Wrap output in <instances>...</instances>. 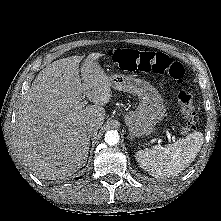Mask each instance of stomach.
<instances>
[{"mask_svg": "<svg viewBox=\"0 0 221 221\" xmlns=\"http://www.w3.org/2000/svg\"><path fill=\"white\" fill-rule=\"evenodd\" d=\"M108 77L113 89L128 92L139 99L137 108L124 116L130 135L140 137L151 134L165 114L163 99L158 91L149 82L132 75L116 73Z\"/></svg>", "mask_w": 221, "mask_h": 221, "instance_id": "1", "label": "stomach"}]
</instances>
